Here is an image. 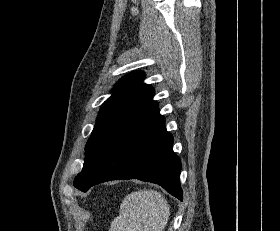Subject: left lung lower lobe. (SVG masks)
Segmentation results:
<instances>
[{"mask_svg":"<svg viewBox=\"0 0 280 231\" xmlns=\"http://www.w3.org/2000/svg\"><path fill=\"white\" fill-rule=\"evenodd\" d=\"M172 143L157 108L113 136L76 188L86 192L102 182L135 178L159 184L182 201L181 162L173 153Z\"/></svg>","mask_w":280,"mask_h":231,"instance_id":"left-lung-lower-lobe-1","label":"left lung lower lobe"}]
</instances>
